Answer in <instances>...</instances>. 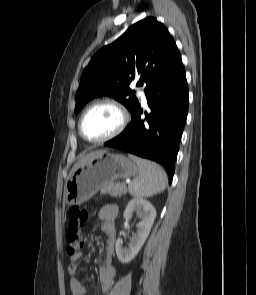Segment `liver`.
<instances>
[{
  "label": "liver",
  "mask_w": 256,
  "mask_h": 295,
  "mask_svg": "<svg viewBox=\"0 0 256 295\" xmlns=\"http://www.w3.org/2000/svg\"><path fill=\"white\" fill-rule=\"evenodd\" d=\"M105 152V150H97L94 152H90L88 154L83 155L79 161L73 166L72 171L69 175V177L71 176V174L73 173L74 170H76L78 167H80L82 164L86 163L87 161L95 158L96 156L100 155L101 153Z\"/></svg>",
  "instance_id": "liver-1"
}]
</instances>
